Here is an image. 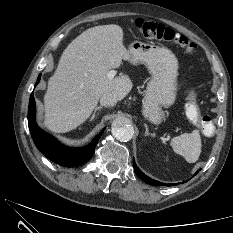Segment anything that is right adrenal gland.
Instances as JSON below:
<instances>
[{
    "label": "right adrenal gland",
    "mask_w": 233,
    "mask_h": 233,
    "mask_svg": "<svg viewBox=\"0 0 233 233\" xmlns=\"http://www.w3.org/2000/svg\"><path fill=\"white\" fill-rule=\"evenodd\" d=\"M102 107H103V106H98V107L95 108V110H94V112H93V114H92V116H91V118H90V121H92V120L95 119L96 112H97L98 110H100Z\"/></svg>",
    "instance_id": "2a0ac1e0"
}]
</instances>
